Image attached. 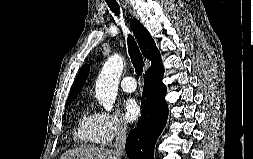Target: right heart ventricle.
<instances>
[{"label": "right heart ventricle", "instance_id": "e07e8e85", "mask_svg": "<svg viewBox=\"0 0 253 159\" xmlns=\"http://www.w3.org/2000/svg\"><path fill=\"white\" fill-rule=\"evenodd\" d=\"M74 141L81 145H98L100 141V128L97 114L88 108H83L79 113L74 129Z\"/></svg>", "mask_w": 253, "mask_h": 159}]
</instances>
